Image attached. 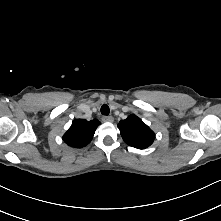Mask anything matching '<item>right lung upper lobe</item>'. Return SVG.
Segmentation results:
<instances>
[{"instance_id":"obj_1","label":"right lung upper lobe","mask_w":221,"mask_h":221,"mask_svg":"<svg viewBox=\"0 0 221 221\" xmlns=\"http://www.w3.org/2000/svg\"><path fill=\"white\" fill-rule=\"evenodd\" d=\"M99 125L100 122L97 119L91 121L76 119L64 134L63 141L71 147L82 148L90 143Z\"/></svg>"}]
</instances>
